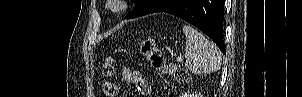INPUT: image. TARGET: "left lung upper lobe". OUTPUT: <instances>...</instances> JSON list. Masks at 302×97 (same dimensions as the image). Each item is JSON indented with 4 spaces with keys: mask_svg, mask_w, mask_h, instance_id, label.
I'll return each mask as SVG.
<instances>
[{
    "mask_svg": "<svg viewBox=\"0 0 302 97\" xmlns=\"http://www.w3.org/2000/svg\"><path fill=\"white\" fill-rule=\"evenodd\" d=\"M135 3V8L132 12L140 11L145 8V5L149 2V0H132ZM131 13V12H130Z\"/></svg>",
    "mask_w": 302,
    "mask_h": 97,
    "instance_id": "left-lung-upper-lobe-1",
    "label": "left lung upper lobe"
}]
</instances>
